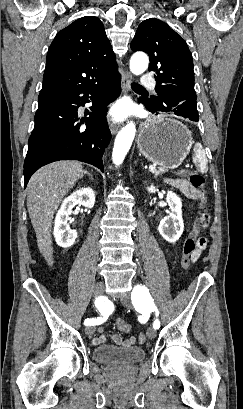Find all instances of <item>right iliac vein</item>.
<instances>
[{
    "label": "right iliac vein",
    "mask_w": 243,
    "mask_h": 409,
    "mask_svg": "<svg viewBox=\"0 0 243 409\" xmlns=\"http://www.w3.org/2000/svg\"><path fill=\"white\" fill-rule=\"evenodd\" d=\"M103 289H104V284H103V282H98V283L95 285V287H94V296H95V297L100 296V295L102 294V292H103ZM94 331H95V328H94V326H92V325L87 326V327L85 328V333H86L88 336H92L93 333H94Z\"/></svg>",
    "instance_id": "right-iliac-vein-1"
}]
</instances>
